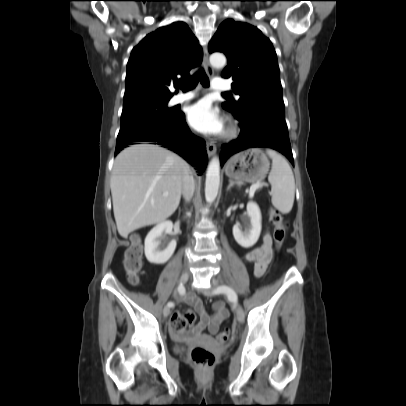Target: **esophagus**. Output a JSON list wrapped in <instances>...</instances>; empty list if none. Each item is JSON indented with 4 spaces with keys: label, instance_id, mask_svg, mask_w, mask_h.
<instances>
[{
    "label": "esophagus",
    "instance_id": "obj_1",
    "mask_svg": "<svg viewBox=\"0 0 406 406\" xmlns=\"http://www.w3.org/2000/svg\"><path fill=\"white\" fill-rule=\"evenodd\" d=\"M208 55H209L208 50H207V48H205L204 49V55H203V67H204L206 73L209 76H212L213 75V68L209 63ZM206 148H207V154H208L209 157H212L213 155H215V153L217 151V148H216V145L214 143L207 142Z\"/></svg>",
    "mask_w": 406,
    "mask_h": 406
}]
</instances>
